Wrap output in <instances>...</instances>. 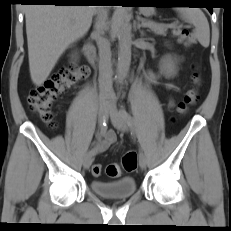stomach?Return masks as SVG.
<instances>
[{
	"label": "stomach",
	"instance_id": "obj_1",
	"mask_svg": "<svg viewBox=\"0 0 231 231\" xmlns=\"http://www.w3.org/2000/svg\"><path fill=\"white\" fill-rule=\"evenodd\" d=\"M141 12L144 13V14H149L150 13L149 10H147V8H144V7L141 8Z\"/></svg>",
	"mask_w": 231,
	"mask_h": 231
}]
</instances>
